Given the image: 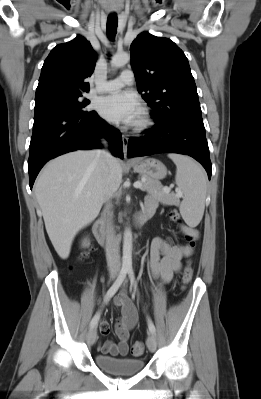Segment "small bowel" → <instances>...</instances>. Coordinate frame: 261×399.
<instances>
[{
  "label": "small bowel",
  "mask_w": 261,
  "mask_h": 399,
  "mask_svg": "<svg viewBox=\"0 0 261 399\" xmlns=\"http://www.w3.org/2000/svg\"><path fill=\"white\" fill-rule=\"evenodd\" d=\"M158 204L159 202L155 196L148 195L145 199L144 209L154 211ZM180 229L185 235H193L195 240L199 238V233L194 227L182 225ZM192 253L193 248L190 245H172L162 238H155L150 247V270L152 275L169 282L174 274L181 269L182 260L191 256ZM115 304L121 313L115 324V333L119 342L117 344L112 341L103 342L100 344V351L103 354L112 356H124L129 350L130 331L137 323L138 313L135 305L124 292L116 296ZM99 329L103 336H107L111 332L110 325L106 320L100 322Z\"/></svg>",
  "instance_id": "obj_1"
}]
</instances>
